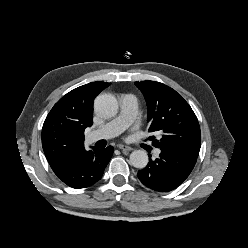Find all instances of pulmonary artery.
Listing matches in <instances>:
<instances>
[{
	"label": "pulmonary artery",
	"instance_id": "obj_1",
	"mask_svg": "<svg viewBox=\"0 0 248 248\" xmlns=\"http://www.w3.org/2000/svg\"><path fill=\"white\" fill-rule=\"evenodd\" d=\"M121 110L117 117L91 131L88 135L90 142L100 139H110L122 133L135 119L137 113V99L132 94H124L120 98ZM159 150L155 151L158 155Z\"/></svg>",
	"mask_w": 248,
	"mask_h": 248
}]
</instances>
